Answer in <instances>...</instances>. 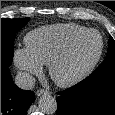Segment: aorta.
Returning <instances> with one entry per match:
<instances>
[{
  "label": "aorta",
  "mask_w": 115,
  "mask_h": 115,
  "mask_svg": "<svg viewBox=\"0 0 115 115\" xmlns=\"http://www.w3.org/2000/svg\"><path fill=\"white\" fill-rule=\"evenodd\" d=\"M39 109L46 114H53L57 110V101L51 95H43L38 101Z\"/></svg>",
  "instance_id": "obj_1"
}]
</instances>
